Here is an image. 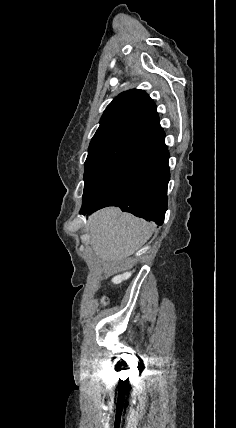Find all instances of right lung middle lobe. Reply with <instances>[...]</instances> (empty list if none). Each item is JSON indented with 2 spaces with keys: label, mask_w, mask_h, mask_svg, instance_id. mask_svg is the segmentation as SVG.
Listing matches in <instances>:
<instances>
[{
  "label": "right lung middle lobe",
  "mask_w": 236,
  "mask_h": 428,
  "mask_svg": "<svg viewBox=\"0 0 236 428\" xmlns=\"http://www.w3.org/2000/svg\"><path fill=\"white\" fill-rule=\"evenodd\" d=\"M143 147V142H128L89 155L85 161L82 205L94 202L118 181Z\"/></svg>",
  "instance_id": "dd1d6c3e"
}]
</instances>
